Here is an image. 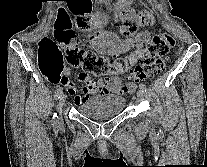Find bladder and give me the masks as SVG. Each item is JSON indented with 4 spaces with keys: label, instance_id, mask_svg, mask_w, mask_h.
<instances>
[{
    "label": "bladder",
    "instance_id": "1",
    "mask_svg": "<svg viewBox=\"0 0 207 167\" xmlns=\"http://www.w3.org/2000/svg\"><path fill=\"white\" fill-rule=\"evenodd\" d=\"M126 105V99L117 95L98 96L79 104L77 111L92 120L103 121L121 114Z\"/></svg>",
    "mask_w": 207,
    "mask_h": 167
}]
</instances>
